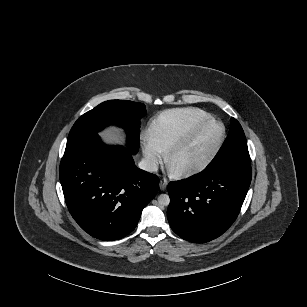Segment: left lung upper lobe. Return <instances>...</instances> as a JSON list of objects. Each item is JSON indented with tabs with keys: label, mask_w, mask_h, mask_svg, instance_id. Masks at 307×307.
<instances>
[{
	"label": "left lung upper lobe",
	"mask_w": 307,
	"mask_h": 307,
	"mask_svg": "<svg viewBox=\"0 0 307 307\" xmlns=\"http://www.w3.org/2000/svg\"><path fill=\"white\" fill-rule=\"evenodd\" d=\"M226 163H241L250 165L246 137L239 122L231 118V129L221 149L205 168L209 170Z\"/></svg>",
	"instance_id": "obj_1"
}]
</instances>
